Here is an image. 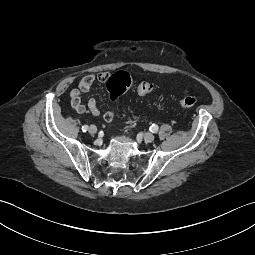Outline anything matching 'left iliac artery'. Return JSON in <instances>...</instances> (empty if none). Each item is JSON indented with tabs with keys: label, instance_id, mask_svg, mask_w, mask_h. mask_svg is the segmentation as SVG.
<instances>
[{
	"label": "left iliac artery",
	"instance_id": "left-iliac-artery-1",
	"mask_svg": "<svg viewBox=\"0 0 255 255\" xmlns=\"http://www.w3.org/2000/svg\"><path fill=\"white\" fill-rule=\"evenodd\" d=\"M150 130L153 132V133H156L158 131V126L156 124H152V126L150 127Z\"/></svg>",
	"mask_w": 255,
	"mask_h": 255
}]
</instances>
